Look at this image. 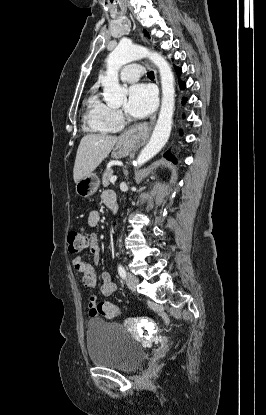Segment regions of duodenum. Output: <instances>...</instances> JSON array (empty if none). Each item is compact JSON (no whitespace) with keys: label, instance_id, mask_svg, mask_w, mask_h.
<instances>
[{"label":"duodenum","instance_id":"duodenum-1","mask_svg":"<svg viewBox=\"0 0 266 415\" xmlns=\"http://www.w3.org/2000/svg\"><path fill=\"white\" fill-rule=\"evenodd\" d=\"M108 207H109L111 210H114V209H115V206H114L113 204H109V205H108Z\"/></svg>","mask_w":266,"mask_h":415}]
</instances>
